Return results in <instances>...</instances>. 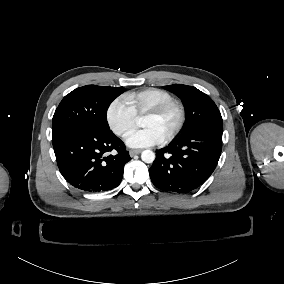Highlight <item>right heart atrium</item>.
Segmentation results:
<instances>
[{"mask_svg":"<svg viewBox=\"0 0 284 284\" xmlns=\"http://www.w3.org/2000/svg\"><path fill=\"white\" fill-rule=\"evenodd\" d=\"M105 120L107 127L114 135L123 137L135 124L136 113L124 97H117L108 104Z\"/></svg>","mask_w":284,"mask_h":284,"instance_id":"d8ad5b80","label":"right heart atrium"}]
</instances>
